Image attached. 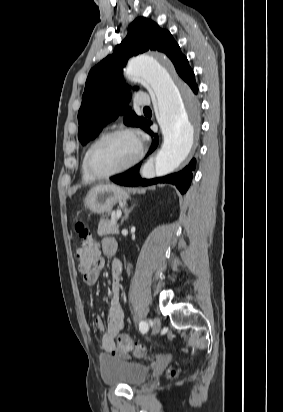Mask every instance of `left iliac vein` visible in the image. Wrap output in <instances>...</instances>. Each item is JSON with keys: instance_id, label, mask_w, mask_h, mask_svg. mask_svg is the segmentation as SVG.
<instances>
[{"instance_id": "1", "label": "left iliac vein", "mask_w": 283, "mask_h": 412, "mask_svg": "<svg viewBox=\"0 0 283 412\" xmlns=\"http://www.w3.org/2000/svg\"><path fill=\"white\" fill-rule=\"evenodd\" d=\"M161 321L159 318H154L152 322V334L155 335L160 331Z\"/></svg>"}]
</instances>
